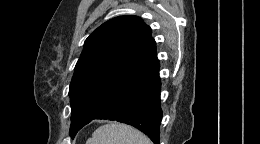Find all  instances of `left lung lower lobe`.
<instances>
[{
    "instance_id": "1",
    "label": "left lung lower lobe",
    "mask_w": 260,
    "mask_h": 144,
    "mask_svg": "<svg viewBox=\"0 0 260 144\" xmlns=\"http://www.w3.org/2000/svg\"><path fill=\"white\" fill-rule=\"evenodd\" d=\"M158 64L156 59L133 73L92 120L106 119L134 126L154 144H159L162 110Z\"/></svg>"
}]
</instances>
